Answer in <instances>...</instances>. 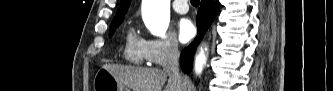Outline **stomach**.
<instances>
[{"instance_id":"stomach-1","label":"stomach","mask_w":333,"mask_h":91,"mask_svg":"<svg viewBox=\"0 0 333 91\" xmlns=\"http://www.w3.org/2000/svg\"><path fill=\"white\" fill-rule=\"evenodd\" d=\"M94 91H129L106 69L97 71L93 81Z\"/></svg>"}]
</instances>
